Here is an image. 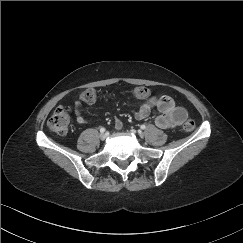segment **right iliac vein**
<instances>
[{
    "label": "right iliac vein",
    "mask_w": 243,
    "mask_h": 243,
    "mask_svg": "<svg viewBox=\"0 0 243 243\" xmlns=\"http://www.w3.org/2000/svg\"><path fill=\"white\" fill-rule=\"evenodd\" d=\"M99 138L101 140H105L107 138V135L106 134H100Z\"/></svg>",
    "instance_id": "1"
}]
</instances>
